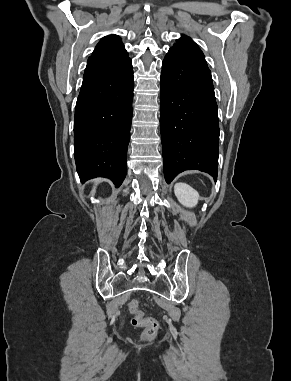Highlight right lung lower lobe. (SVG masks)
Returning a JSON list of instances; mask_svg holds the SVG:
<instances>
[{"instance_id":"right-lung-lower-lobe-1","label":"right lung lower lobe","mask_w":291,"mask_h":381,"mask_svg":"<svg viewBox=\"0 0 291 381\" xmlns=\"http://www.w3.org/2000/svg\"><path fill=\"white\" fill-rule=\"evenodd\" d=\"M133 90L125 49L88 58L74 120V156L82 182L106 177L119 187L125 179Z\"/></svg>"}]
</instances>
